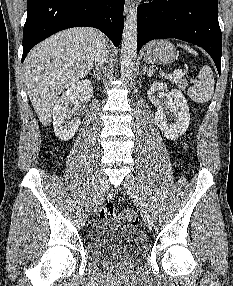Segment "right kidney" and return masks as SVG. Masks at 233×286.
I'll use <instances>...</instances> for the list:
<instances>
[{
    "mask_svg": "<svg viewBox=\"0 0 233 286\" xmlns=\"http://www.w3.org/2000/svg\"><path fill=\"white\" fill-rule=\"evenodd\" d=\"M93 93L92 83L81 80L70 86L56 101L53 107V127L55 134L61 140L71 139L80 126L78 117H72L75 110L71 109L72 103L78 98L88 101Z\"/></svg>",
    "mask_w": 233,
    "mask_h": 286,
    "instance_id": "obj_1",
    "label": "right kidney"
}]
</instances>
